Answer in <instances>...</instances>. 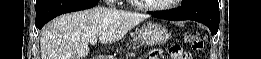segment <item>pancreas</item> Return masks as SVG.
Listing matches in <instances>:
<instances>
[{"label": "pancreas", "instance_id": "1", "mask_svg": "<svg viewBox=\"0 0 261 59\" xmlns=\"http://www.w3.org/2000/svg\"><path fill=\"white\" fill-rule=\"evenodd\" d=\"M135 57V54L134 53H129L126 55V59H130V58H133Z\"/></svg>", "mask_w": 261, "mask_h": 59}]
</instances>
